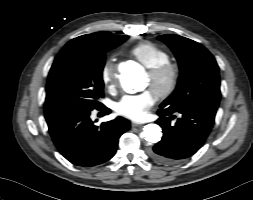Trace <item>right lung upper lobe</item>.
Instances as JSON below:
<instances>
[{
    "mask_svg": "<svg viewBox=\"0 0 253 200\" xmlns=\"http://www.w3.org/2000/svg\"><path fill=\"white\" fill-rule=\"evenodd\" d=\"M113 35L104 34V33H93L79 36L70 42L67 45H80V46H89L96 47L99 44L113 38Z\"/></svg>",
    "mask_w": 253,
    "mask_h": 200,
    "instance_id": "right-lung-upper-lobe-1",
    "label": "right lung upper lobe"
}]
</instances>
